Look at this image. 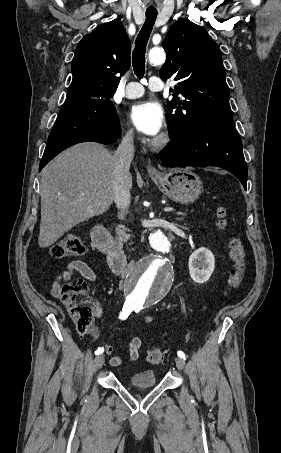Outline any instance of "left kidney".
<instances>
[{"mask_svg": "<svg viewBox=\"0 0 281 453\" xmlns=\"http://www.w3.org/2000/svg\"><path fill=\"white\" fill-rule=\"evenodd\" d=\"M215 267L214 255L209 249L201 247L190 255L189 273L195 283H206L210 279Z\"/></svg>", "mask_w": 281, "mask_h": 453, "instance_id": "left-kidney-1", "label": "left kidney"}]
</instances>
